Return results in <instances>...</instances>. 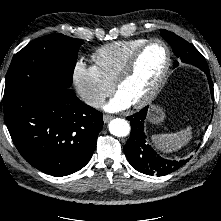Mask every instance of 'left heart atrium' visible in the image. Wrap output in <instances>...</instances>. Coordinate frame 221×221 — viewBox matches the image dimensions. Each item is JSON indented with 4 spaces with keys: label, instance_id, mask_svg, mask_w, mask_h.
I'll return each mask as SVG.
<instances>
[{
    "label": "left heart atrium",
    "instance_id": "39dd6f15",
    "mask_svg": "<svg viewBox=\"0 0 221 221\" xmlns=\"http://www.w3.org/2000/svg\"><path fill=\"white\" fill-rule=\"evenodd\" d=\"M132 103L119 91L112 98V100L105 105V109L108 111H118L129 107Z\"/></svg>",
    "mask_w": 221,
    "mask_h": 221
}]
</instances>
